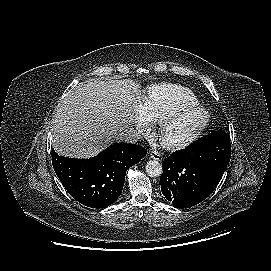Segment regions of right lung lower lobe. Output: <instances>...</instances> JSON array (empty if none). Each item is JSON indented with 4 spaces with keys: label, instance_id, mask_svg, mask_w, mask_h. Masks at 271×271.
Here are the masks:
<instances>
[{
    "label": "right lung lower lobe",
    "instance_id": "98d812e1",
    "mask_svg": "<svg viewBox=\"0 0 271 271\" xmlns=\"http://www.w3.org/2000/svg\"><path fill=\"white\" fill-rule=\"evenodd\" d=\"M146 149L115 143L90 159L59 156L52 150L54 170L67 192L79 203L104 208L122 193L126 171L140 162Z\"/></svg>",
    "mask_w": 271,
    "mask_h": 271
}]
</instances>
